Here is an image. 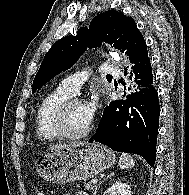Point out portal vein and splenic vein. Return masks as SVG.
<instances>
[{
    "label": "portal vein and splenic vein",
    "instance_id": "1",
    "mask_svg": "<svg viewBox=\"0 0 189 195\" xmlns=\"http://www.w3.org/2000/svg\"><path fill=\"white\" fill-rule=\"evenodd\" d=\"M97 182H98L97 179H93V180H92V183H93V184H96Z\"/></svg>",
    "mask_w": 189,
    "mask_h": 195
}]
</instances>
